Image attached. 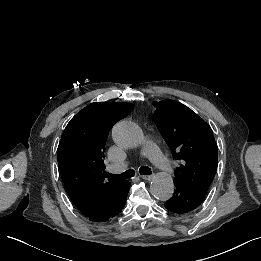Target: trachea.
Returning <instances> with one entry per match:
<instances>
[{"label": "trachea", "mask_w": 261, "mask_h": 261, "mask_svg": "<svg viewBox=\"0 0 261 261\" xmlns=\"http://www.w3.org/2000/svg\"><path fill=\"white\" fill-rule=\"evenodd\" d=\"M139 173L141 175H151L152 171L150 168H148L146 166H142L139 168ZM134 175H135V171L133 169H129L119 175L106 173V177H108L109 179L117 180V181L127 180V179L133 177Z\"/></svg>", "instance_id": "trachea-1"}]
</instances>
